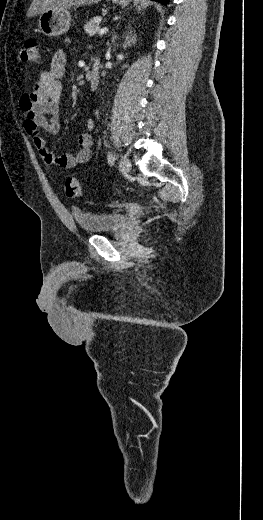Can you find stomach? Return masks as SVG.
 Returning a JSON list of instances; mask_svg holds the SVG:
<instances>
[{"instance_id": "1", "label": "stomach", "mask_w": 263, "mask_h": 520, "mask_svg": "<svg viewBox=\"0 0 263 520\" xmlns=\"http://www.w3.org/2000/svg\"><path fill=\"white\" fill-rule=\"evenodd\" d=\"M118 5H125L129 0H112ZM38 27L40 31L49 37H56L66 33L71 23V14L66 8H52L39 16Z\"/></svg>"}]
</instances>
